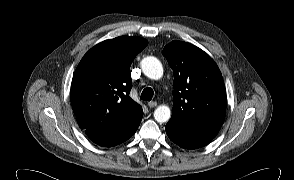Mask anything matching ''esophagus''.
Returning a JSON list of instances; mask_svg holds the SVG:
<instances>
[{
    "instance_id": "1",
    "label": "esophagus",
    "mask_w": 294,
    "mask_h": 180,
    "mask_svg": "<svg viewBox=\"0 0 294 180\" xmlns=\"http://www.w3.org/2000/svg\"><path fill=\"white\" fill-rule=\"evenodd\" d=\"M147 105L150 108H154L157 105V103L155 101H152V102H149Z\"/></svg>"
}]
</instances>
